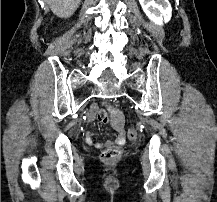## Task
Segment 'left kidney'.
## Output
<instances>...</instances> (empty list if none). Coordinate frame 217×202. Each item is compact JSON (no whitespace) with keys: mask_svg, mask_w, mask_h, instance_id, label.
I'll list each match as a JSON object with an SVG mask.
<instances>
[{"mask_svg":"<svg viewBox=\"0 0 217 202\" xmlns=\"http://www.w3.org/2000/svg\"><path fill=\"white\" fill-rule=\"evenodd\" d=\"M143 12L149 20L163 26L171 20L172 8L168 0H139Z\"/></svg>","mask_w":217,"mask_h":202,"instance_id":"obj_1","label":"left kidney"}]
</instances>
